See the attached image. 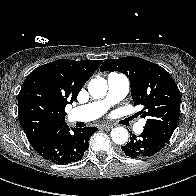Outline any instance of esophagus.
Segmentation results:
<instances>
[{
	"label": "esophagus",
	"instance_id": "obj_1",
	"mask_svg": "<svg viewBox=\"0 0 196 196\" xmlns=\"http://www.w3.org/2000/svg\"><path fill=\"white\" fill-rule=\"evenodd\" d=\"M102 128L103 129H111V128H113V125H109V124L108 125L107 124L106 125H102Z\"/></svg>",
	"mask_w": 196,
	"mask_h": 196
}]
</instances>
